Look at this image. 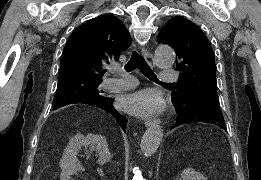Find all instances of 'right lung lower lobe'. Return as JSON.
I'll use <instances>...</instances> for the list:
<instances>
[{"label":"right lung lower lobe","mask_w":261,"mask_h":180,"mask_svg":"<svg viewBox=\"0 0 261 180\" xmlns=\"http://www.w3.org/2000/svg\"><path fill=\"white\" fill-rule=\"evenodd\" d=\"M113 101L114 100L112 98H108L105 96H103L99 99H94V100L86 99V98H78V99L68 101L64 105H68L71 103H85V104L99 106L100 108L106 110L111 115H113L115 117V119L117 120V122L119 123V125L121 126V128L125 131V128L127 125V119L124 116H122L121 114H119L117 112V110L114 109V107L112 105Z\"/></svg>","instance_id":"obj_1"}]
</instances>
